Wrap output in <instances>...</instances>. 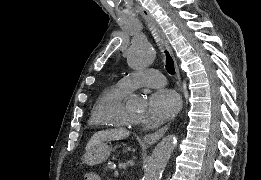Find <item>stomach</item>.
Returning a JSON list of instances; mask_svg holds the SVG:
<instances>
[{
	"instance_id": "stomach-1",
	"label": "stomach",
	"mask_w": 261,
	"mask_h": 180,
	"mask_svg": "<svg viewBox=\"0 0 261 180\" xmlns=\"http://www.w3.org/2000/svg\"><path fill=\"white\" fill-rule=\"evenodd\" d=\"M111 153V147L104 142L96 144L85 153L84 162L89 166H94L105 162Z\"/></svg>"
}]
</instances>
